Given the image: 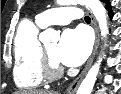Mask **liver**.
Returning a JSON list of instances; mask_svg holds the SVG:
<instances>
[{"instance_id": "6515ba94", "label": "liver", "mask_w": 121, "mask_h": 94, "mask_svg": "<svg viewBox=\"0 0 121 94\" xmlns=\"http://www.w3.org/2000/svg\"><path fill=\"white\" fill-rule=\"evenodd\" d=\"M15 94H60L58 91H48V90H29L20 91Z\"/></svg>"}]
</instances>
